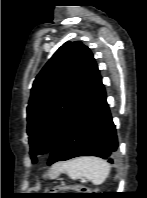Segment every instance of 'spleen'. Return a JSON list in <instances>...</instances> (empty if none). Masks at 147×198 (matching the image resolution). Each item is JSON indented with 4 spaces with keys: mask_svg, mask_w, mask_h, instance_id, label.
I'll return each instance as SVG.
<instances>
[{
    "mask_svg": "<svg viewBox=\"0 0 147 198\" xmlns=\"http://www.w3.org/2000/svg\"><path fill=\"white\" fill-rule=\"evenodd\" d=\"M62 171H65L72 180L84 177L95 185H100L108 177L110 165L101 158L86 156L64 163Z\"/></svg>",
    "mask_w": 147,
    "mask_h": 198,
    "instance_id": "1",
    "label": "spleen"
}]
</instances>
